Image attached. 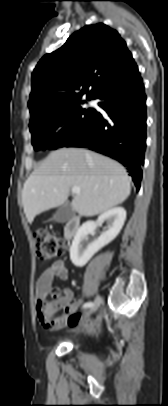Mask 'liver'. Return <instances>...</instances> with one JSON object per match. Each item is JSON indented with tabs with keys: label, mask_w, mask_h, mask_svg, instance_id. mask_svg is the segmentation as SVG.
Segmentation results:
<instances>
[{
	"label": "liver",
	"mask_w": 168,
	"mask_h": 406,
	"mask_svg": "<svg viewBox=\"0 0 168 406\" xmlns=\"http://www.w3.org/2000/svg\"><path fill=\"white\" fill-rule=\"evenodd\" d=\"M74 186L81 192L71 205L86 217L114 208L131 192L130 177L118 162L87 149L62 148L51 152L24 184L22 204L28 222L63 205Z\"/></svg>",
	"instance_id": "6515ba94"
}]
</instances>
